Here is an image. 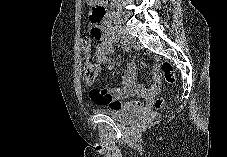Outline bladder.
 <instances>
[{
	"label": "bladder",
	"mask_w": 227,
	"mask_h": 157,
	"mask_svg": "<svg viewBox=\"0 0 227 157\" xmlns=\"http://www.w3.org/2000/svg\"><path fill=\"white\" fill-rule=\"evenodd\" d=\"M97 112L109 116L110 118L121 121L127 122L131 121L136 118L140 112L136 110H127V109H113V108H100L97 109Z\"/></svg>",
	"instance_id": "obj_1"
}]
</instances>
